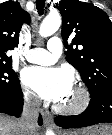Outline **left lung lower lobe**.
<instances>
[{
  "instance_id": "left-lung-lower-lobe-1",
  "label": "left lung lower lobe",
  "mask_w": 112,
  "mask_h": 135,
  "mask_svg": "<svg viewBox=\"0 0 112 135\" xmlns=\"http://www.w3.org/2000/svg\"><path fill=\"white\" fill-rule=\"evenodd\" d=\"M105 122L112 123V89L92 96L88 108L82 114L55 117V123L63 128H81Z\"/></svg>"
}]
</instances>
